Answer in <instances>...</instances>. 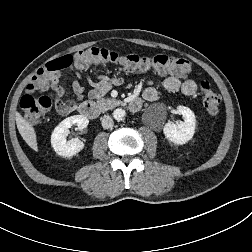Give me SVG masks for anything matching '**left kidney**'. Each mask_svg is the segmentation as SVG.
<instances>
[{
  "instance_id": "1",
  "label": "left kidney",
  "mask_w": 252,
  "mask_h": 252,
  "mask_svg": "<svg viewBox=\"0 0 252 252\" xmlns=\"http://www.w3.org/2000/svg\"><path fill=\"white\" fill-rule=\"evenodd\" d=\"M177 112L183 116L180 124L168 122L163 128L165 137L175 144H185L194 135L196 119L194 113L185 106H178Z\"/></svg>"
}]
</instances>
